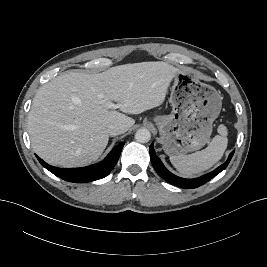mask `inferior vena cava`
<instances>
[{
  "instance_id": "obj_1",
  "label": "inferior vena cava",
  "mask_w": 267,
  "mask_h": 267,
  "mask_svg": "<svg viewBox=\"0 0 267 267\" xmlns=\"http://www.w3.org/2000/svg\"><path fill=\"white\" fill-rule=\"evenodd\" d=\"M107 132L111 136L123 133V127L118 123H111L107 126Z\"/></svg>"
}]
</instances>
